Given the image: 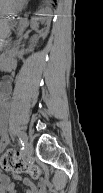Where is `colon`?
Returning <instances> with one entry per match:
<instances>
[{"label": "colon", "instance_id": "colon-1", "mask_svg": "<svg viewBox=\"0 0 103 193\" xmlns=\"http://www.w3.org/2000/svg\"><path fill=\"white\" fill-rule=\"evenodd\" d=\"M0 164L3 170L13 173H29L33 178L42 176V169L30 162L22 160L15 151H8L1 156Z\"/></svg>", "mask_w": 103, "mask_h": 193}]
</instances>
